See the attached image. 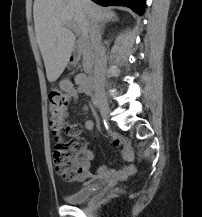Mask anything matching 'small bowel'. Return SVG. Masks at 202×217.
Instances as JSON below:
<instances>
[{
    "mask_svg": "<svg viewBox=\"0 0 202 217\" xmlns=\"http://www.w3.org/2000/svg\"><path fill=\"white\" fill-rule=\"evenodd\" d=\"M82 75H78L75 78L76 84L78 88L74 86V84L69 80H63L60 82V88L74 101L78 100L79 94L84 93L85 90L81 84ZM86 129L92 131L93 130V122L91 120H87L85 122ZM70 131L72 133L78 134L81 131V126L77 123L70 125ZM113 145L115 147L123 146L122 149V158L124 161L128 162V165L123 166L120 169H108L105 166H99L96 171V175L99 177H107V178H115V179H126L136 172V166L133 164L134 161V152L128 140L124 137L114 136L112 139ZM82 159L84 161L83 164V180H88L94 176V174L90 171L91 161L93 159V153L90 150H85Z\"/></svg>",
    "mask_w": 202,
    "mask_h": 217,
    "instance_id": "1",
    "label": "small bowel"
}]
</instances>
